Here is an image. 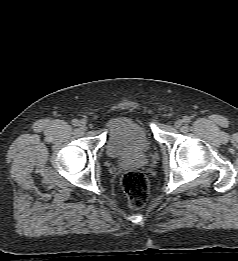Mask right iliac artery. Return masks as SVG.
Masks as SVG:
<instances>
[{
    "instance_id": "1",
    "label": "right iliac artery",
    "mask_w": 238,
    "mask_h": 261,
    "mask_svg": "<svg viewBox=\"0 0 238 261\" xmlns=\"http://www.w3.org/2000/svg\"><path fill=\"white\" fill-rule=\"evenodd\" d=\"M79 120H77V119H73L72 120V125H74V126H78L79 125Z\"/></svg>"
}]
</instances>
